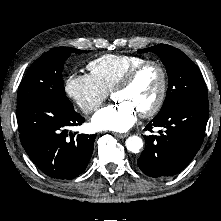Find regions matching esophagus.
<instances>
[{
  "instance_id": "obj_1",
  "label": "esophagus",
  "mask_w": 221,
  "mask_h": 221,
  "mask_svg": "<svg viewBox=\"0 0 221 221\" xmlns=\"http://www.w3.org/2000/svg\"><path fill=\"white\" fill-rule=\"evenodd\" d=\"M115 136L118 137V138H126L128 135L127 134H121V133H115Z\"/></svg>"
}]
</instances>
